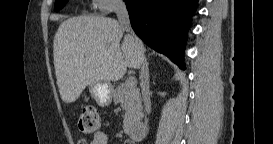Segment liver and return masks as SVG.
<instances>
[{"mask_svg":"<svg viewBox=\"0 0 273 144\" xmlns=\"http://www.w3.org/2000/svg\"><path fill=\"white\" fill-rule=\"evenodd\" d=\"M115 19L79 16L63 21L54 37L57 85L65 103L75 102L88 86L120 80L140 62L133 40Z\"/></svg>","mask_w":273,"mask_h":144,"instance_id":"6515ba94","label":"liver"}]
</instances>
